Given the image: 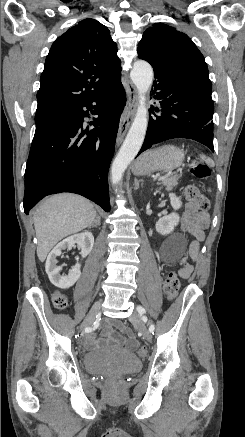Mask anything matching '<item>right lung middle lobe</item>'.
<instances>
[{"label": "right lung middle lobe", "instance_id": "obj_1", "mask_svg": "<svg viewBox=\"0 0 245 437\" xmlns=\"http://www.w3.org/2000/svg\"><path fill=\"white\" fill-rule=\"evenodd\" d=\"M59 107H55V108H51V109H46V110H41V111H37L36 115H35V123L40 122L42 119H44L48 114H50L52 111H54L55 109H58Z\"/></svg>", "mask_w": 245, "mask_h": 437}]
</instances>
